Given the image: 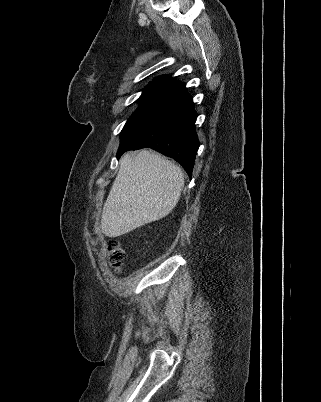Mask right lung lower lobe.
Here are the masks:
<instances>
[{
    "label": "right lung lower lobe",
    "instance_id": "right-lung-lower-lobe-1",
    "mask_svg": "<svg viewBox=\"0 0 321 402\" xmlns=\"http://www.w3.org/2000/svg\"><path fill=\"white\" fill-rule=\"evenodd\" d=\"M196 117L192 97L181 83L121 134L117 158L128 150L152 148L173 158L191 176L199 148Z\"/></svg>",
    "mask_w": 321,
    "mask_h": 402
}]
</instances>
